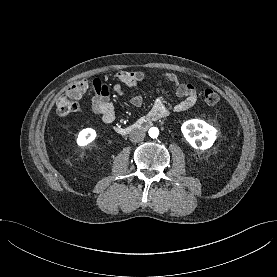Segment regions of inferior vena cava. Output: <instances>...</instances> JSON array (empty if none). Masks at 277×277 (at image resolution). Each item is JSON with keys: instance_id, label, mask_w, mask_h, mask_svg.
<instances>
[{"instance_id": "obj_1", "label": "inferior vena cava", "mask_w": 277, "mask_h": 277, "mask_svg": "<svg viewBox=\"0 0 277 277\" xmlns=\"http://www.w3.org/2000/svg\"><path fill=\"white\" fill-rule=\"evenodd\" d=\"M130 141L136 143L145 138V133L141 130L132 131L129 135Z\"/></svg>"}]
</instances>
